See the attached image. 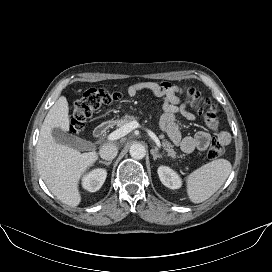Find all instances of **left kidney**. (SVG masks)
Instances as JSON below:
<instances>
[{
	"mask_svg": "<svg viewBox=\"0 0 272 272\" xmlns=\"http://www.w3.org/2000/svg\"><path fill=\"white\" fill-rule=\"evenodd\" d=\"M158 175L162 184L170 189H178L182 186L179 175L167 166H160L158 168Z\"/></svg>",
	"mask_w": 272,
	"mask_h": 272,
	"instance_id": "obj_1",
	"label": "left kidney"
}]
</instances>
